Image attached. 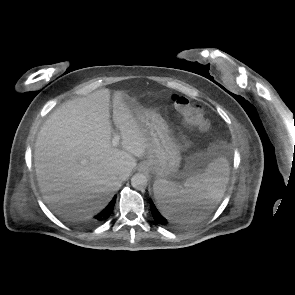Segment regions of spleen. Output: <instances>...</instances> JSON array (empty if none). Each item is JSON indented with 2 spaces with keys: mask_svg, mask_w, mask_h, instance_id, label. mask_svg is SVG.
<instances>
[{
  "mask_svg": "<svg viewBox=\"0 0 295 295\" xmlns=\"http://www.w3.org/2000/svg\"><path fill=\"white\" fill-rule=\"evenodd\" d=\"M229 164L225 158L210 162L203 173L192 175L177 185L166 179L154 182L156 203L169 220L180 224L198 223L204 215L193 212L195 205H212L222 198L229 181Z\"/></svg>",
  "mask_w": 295,
  "mask_h": 295,
  "instance_id": "spleen-1",
  "label": "spleen"
}]
</instances>
